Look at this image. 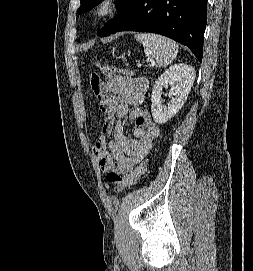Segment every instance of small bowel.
Returning a JSON list of instances; mask_svg holds the SVG:
<instances>
[{
    "label": "small bowel",
    "instance_id": "obj_1",
    "mask_svg": "<svg viewBox=\"0 0 253 271\" xmlns=\"http://www.w3.org/2000/svg\"><path fill=\"white\" fill-rule=\"evenodd\" d=\"M106 75L108 82L103 83L99 95H95L103 119L93 152L107 176L113 171L126 175L149 153L160 129L149 111L138 107L148 91L146 79L116 72H106ZM130 106L134 108L130 110ZM126 116L135 124L132 137L126 136L123 130L121 119ZM111 134L113 138L108 139Z\"/></svg>",
    "mask_w": 253,
    "mask_h": 271
}]
</instances>
